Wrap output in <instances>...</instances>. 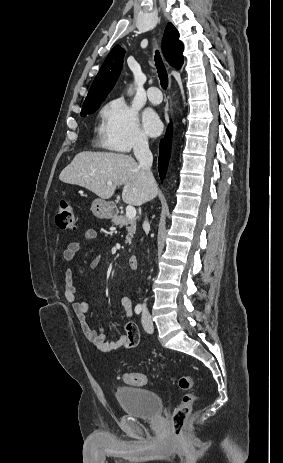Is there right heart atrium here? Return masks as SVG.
<instances>
[{"mask_svg": "<svg viewBox=\"0 0 283 463\" xmlns=\"http://www.w3.org/2000/svg\"><path fill=\"white\" fill-rule=\"evenodd\" d=\"M100 137L105 147L117 151L128 152L148 147V139L140 127L137 111L123 99L112 100L103 108Z\"/></svg>", "mask_w": 283, "mask_h": 463, "instance_id": "obj_1", "label": "right heart atrium"}]
</instances>
